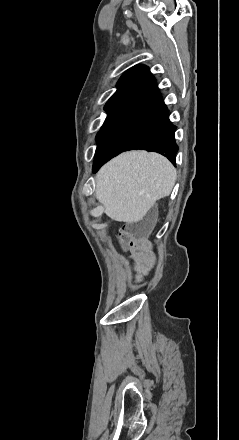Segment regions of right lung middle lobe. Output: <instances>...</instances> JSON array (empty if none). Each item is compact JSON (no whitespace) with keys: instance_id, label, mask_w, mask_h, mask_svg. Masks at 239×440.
Segmentation results:
<instances>
[{"instance_id":"dd1d6c3e","label":"right lung middle lobe","mask_w":239,"mask_h":440,"mask_svg":"<svg viewBox=\"0 0 239 440\" xmlns=\"http://www.w3.org/2000/svg\"><path fill=\"white\" fill-rule=\"evenodd\" d=\"M130 101H117V102H110L105 105V110L108 113V116L101 128V130L98 132L96 136V140L98 143V146L101 144L103 139L106 137V135L110 132V130L113 128V126L118 121L121 114L124 112L126 107Z\"/></svg>"}]
</instances>
